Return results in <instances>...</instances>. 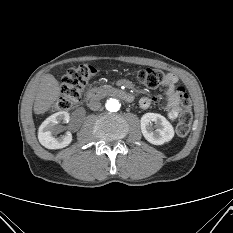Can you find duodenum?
Listing matches in <instances>:
<instances>
[{
  "label": "duodenum",
  "instance_id": "410a0bca",
  "mask_svg": "<svg viewBox=\"0 0 233 233\" xmlns=\"http://www.w3.org/2000/svg\"><path fill=\"white\" fill-rule=\"evenodd\" d=\"M114 96L118 97L126 102H132L133 101V95L127 91L121 90V89H107V90H99V89H91L86 94V100L87 101H94L102 96Z\"/></svg>",
  "mask_w": 233,
  "mask_h": 233
}]
</instances>
